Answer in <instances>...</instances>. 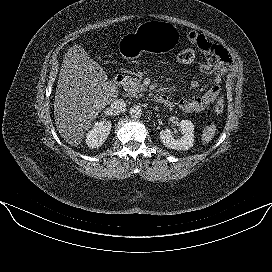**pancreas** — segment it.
<instances>
[{
    "instance_id": "cf45deb5",
    "label": "pancreas",
    "mask_w": 272,
    "mask_h": 272,
    "mask_svg": "<svg viewBox=\"0 0 272 272\" xmlns=\"http://www.w3.org/2000/svg\"><path fill=\"white\" fill-rule=\"evenodd\" d=\"M124 89L128 93L135 94V93L141 92L145 88H144L143 84H141V82L138 78L129 77L127 79L126 83L124 84Z\"/></svg>"
}]
</instances>
